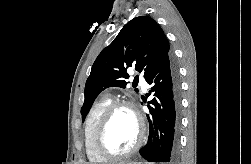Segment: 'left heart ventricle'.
Instances as JSON below:
<instances>
[{
    "label": "left heart ventricle",
    "instance_id": "1",
    "mask_svg": "<svg viewBox=\"0 0 251 164\" xmlns=\"http://www.w3.org/2000/svg\"><path fill=\"white\" fill-rule=\"evenodd\" d=\"M138 137V125L133 113L119 108L113 114L104 137L106 148L113 153L129 150Z\"/></svg>",
    "mask_w": 251,
    "mask_h": 164
}]
</instances>
